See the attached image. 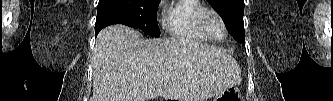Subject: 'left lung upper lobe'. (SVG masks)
<instances>
[{
  "instance_id": "5c2ea615",
  "label": "left lung upper lobe",
  "mask_w": 333,
  "mask_h": 101,
  "mask_svg": "<svg viewBox=\"0 0 333 101\" xmlns=\"http://www.w3.org/2000/svg\"><path fill=\"white\" fill-rule=\"evenodd\" d=\"M222 17L230 34L244 42V0H207Z\"/></svg>"
}]
</instances>
